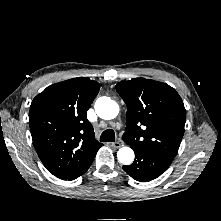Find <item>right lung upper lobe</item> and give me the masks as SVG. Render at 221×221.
Here are the masks:
<instances>
[{"label": "right lung upper lobe", "instance_id": "cb5924a9", "mask_svg": "<svg viewBox=\"0 0 221 221\" xmlns=\"http://www.w3.org/2000/svg\"><path fill=\"white\" fill-rule=\"evenodd\" d=\"M99 87L89 78H73L47 87L31 103L34 147L48 171L60 179L80 173L103 145L86 117Z\"/></svg>", "mask_w": 221, "mask_h": 221}]
</instances>
